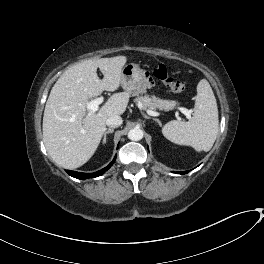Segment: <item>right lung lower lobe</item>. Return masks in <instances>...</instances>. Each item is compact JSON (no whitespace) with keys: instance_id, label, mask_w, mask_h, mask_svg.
Listing matches in <instances>:
<instances>
[{"instance_id":"right-lung-lower-lobe-1","label":"right lung lower lobe","mask_w":264,"mask_h":264,"mask_svg":"<svg viewBox=\"0 0 264 264\" xmlns=\"http://www.w3.org/2000/svg\"><path fill=\"white\" fill-rule=\"evenodd\" d=\"M118 148V147H117ZM116 159V156L114 157V161ZM111 162L107 167H105L104 169L102 170H99L97 172H94V173H81V172H76V171H71V170H67V173L72 176V177H75L77 179H87V178H94V177H98L100 175H102L105 171H107L110 166L114 163Z\"/></svg>"}]
</instances>
